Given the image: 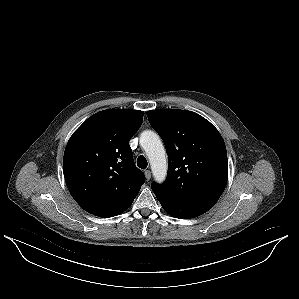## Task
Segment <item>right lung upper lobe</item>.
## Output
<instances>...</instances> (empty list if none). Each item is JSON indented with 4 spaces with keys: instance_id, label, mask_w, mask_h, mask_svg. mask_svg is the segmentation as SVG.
Masks as SVG:
<instances>
[{
    "instance_id": "1",
    "label": "right lung upper lobe",
    "mask_w": 299,
    "mask_h": 299,
    "mask_svg": "<svg viewBox=\"0 0 299 299\" xmlns=\"http://www.w3.org/2000/svg\"><path fill=\"white\" fill-rule=\"evenodd\" d=\"M144 112L107 109L89 117L69 139L63 158L66 185L87 212L112 217L125 211L145 182L130 139ZM104 211V212H103Z\"/></svg>"
}]
</instances>
